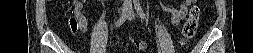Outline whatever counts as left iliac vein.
Segmentation results:
<instances>
[{"label":"left iliac vein","instance_id":"4c4485c4","mask_svg":"<svg viewBox=\"0 0 253 53\" xmlns=\"http://www.w3.org/2000/svg\"><path fill=\"white\" fill-rule=\"evenodd\" d=\"M127 18H128L129 20H132V19L135 18V14H134V12H133L132 9H131L130 12L127 14Z\"/></svg>","mask_w":253,"mask_h":53}]
</instances>
